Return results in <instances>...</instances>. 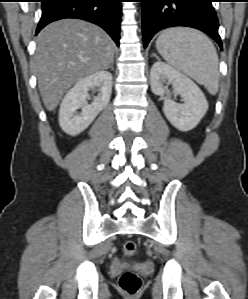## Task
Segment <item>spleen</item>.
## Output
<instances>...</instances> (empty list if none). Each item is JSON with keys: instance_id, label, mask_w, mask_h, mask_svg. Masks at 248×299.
I'll return each mask as SVG.
<instances>
[{"instance_id": "1", "label": "spleen", "mask_w": 248, "mask_h": 299, "mask_svg": "<svg viewBox=\"0 0 248 299\" xmlns=\"http://www.w3.org/2000/svg\"><path fill=\"white\" fill-rule=\"evenodd\" d=\"M156 48L165 61L204 85L211 95L219 89V60L210 39L201 31L173 27L161 32Z\"/></svg>"}]
</instances>
